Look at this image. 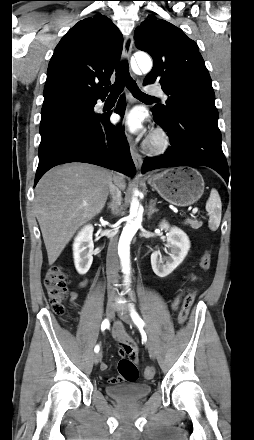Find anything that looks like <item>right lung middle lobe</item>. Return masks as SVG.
Wrapping results in <instances>:
<instances>
[{
  "label": "right lung middle lobe",
  "mask_w": 254,
  "mask_h": 440,
  "mask_svg": "<svg viewBox=\"0 0 254 440\" xmlns=\"http://www.w3.org/2000/svg\"><path fill=\"white\" fill-rule=\"evenodd\" d=\"M90 103L86 97L76 94H62L44 100L41 110V138L70 117L92 111Z\"/></svg>",
  "instance_id": "right-lung-middle-lobe-1"
}]
</instances>
